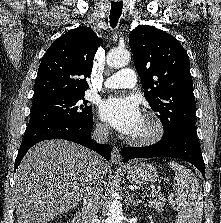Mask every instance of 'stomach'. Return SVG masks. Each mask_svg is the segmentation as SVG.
I'll return each mask as SVG.
<instances>
[{
	"mask_svg": "<svg viewBox=\"0 0 221 223\" xmlns=\"http://www.w3.org/2000/svg\"><path fill=\"white\" fill-rule=\"evenodd\" d=\"M127 178L133 184H149L157 181V169L149 163H136L127 168Z\"/></svg>",
	"mask_w": 221,
	"mask_h": 223,
	"instance_id": "1",
	"label": "stomach"
}]
</instances>
